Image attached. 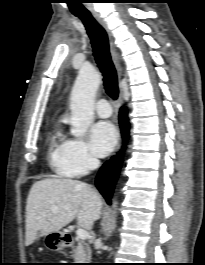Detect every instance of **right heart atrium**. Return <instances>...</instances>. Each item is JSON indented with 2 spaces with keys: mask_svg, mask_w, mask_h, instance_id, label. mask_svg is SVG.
<instances>
[{
  "mask_svg": "<svg viewBox=\"0 0 205 265\" xmlns=\"http://www.w3.org/2000/svg\"><path fill=\"white\" fill-rule=\"evenodd\" d=\"M88 144L81 139L66 140L63 166L72 176H83L97 165Z\"/></svg>",
  "mask_w": 205,
  "mask_h": 265,
  "instance_id": "right-heart-atrium-1",
  "label": "right heart atrium"
}]
</instances>
